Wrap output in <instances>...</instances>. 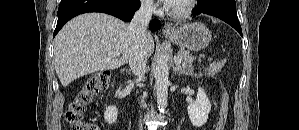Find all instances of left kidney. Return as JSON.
Listing matches in <instances>:
<instances>
[{"label": "left kidney", "mask_w": 299, "mask_h": 130, "mask_svg": "<svg viewBox=\"0 0 299 130\" xmlns=\"http://www.w3.org/2000/svg\"><path fill=\"white\" fill-rule=\"evenodd\" d=\"M187 111L193 126L201 127L207 122L211 103L203 88H198L196 100L188 105Z\"/></svg>", "instance_id": "left-kidney-1"}]
</instances>
